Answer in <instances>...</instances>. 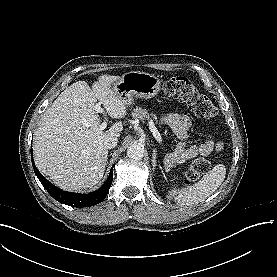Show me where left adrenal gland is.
<instances>
[{"label": "left adrenal gland", "instance_id": "obj_1", "mask_svg": "<svg viewBox=\"0 0 277 277\" xmlns=\"http://www.w3.org/2000/svg\"><path fill=\"white\" fill-rule=\"evenodd\" d=\"M152 156H153L152 165H153V167H155L156 166V150L155 149L153 150Z\"/></svg>", "mask_w": 277, "mask_h": 277}]
</instances>
